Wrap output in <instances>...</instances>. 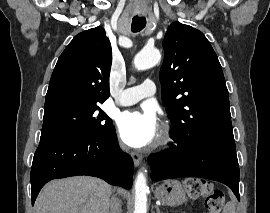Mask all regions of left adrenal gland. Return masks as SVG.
Returning <instances> with one entry per match:
<instances>
[{"label":"left adrenal gland","instance_id":"a2214340","mask_svg":"<svg viewBox=\"0 0 270 213\" xmlns=\"http://www.w3.org/2000/svg\"><path fill=\"white\" fill-rule=\"evenodd\" d=\"M157 213H160V209L156 206Z\"/></svg>","mask_w":270,"mask_h":213}]
</instances>
